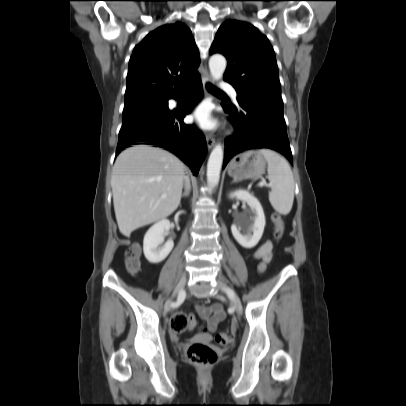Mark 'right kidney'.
<instances>
[{
    "instance_id": "1",
    "label": "right kidney",
    "mask_w": 406,
    "mask_h": 406,
    "mask_svg": "<svg viewBox=\"0 0 406 406\" xmlns=\"http://www.w3.org/2000/svg\"><path fill=\"white\" fill-rule=\"evenodd\" d=\"M170 229L168 220H161L154 224L145 234L143 241V251L146 259L150 263L163 261L173 249L174 243L168 240L163 246L164 232Z\"/></svg>"
}]
</instances>
